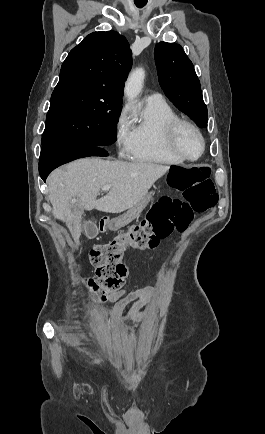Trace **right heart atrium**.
I'll list each match as a JSON object with an SVG mask.
<instances>
[{
  "instance_id": "d8ad5b80",
  "label": "right heart atrium",
  "mask_w": 265,
  "mask_h": 434,
  "mask_svg": "<svg viewBox=\"0 0 265 434\" xmlns=\"http://www.w3.org/2000/svg\"><path fill=\"white\" fill-rule=\"evenodd\" d=\"M120 113L122 115L116 116V126L114 127V133L112 135V138L114 141H116V153L117 154H130L131 153V146L128 145L129 143V116L127 115L129 113V108L127 106H122L120 108Z\"/></svg>"
}]
</instances>
